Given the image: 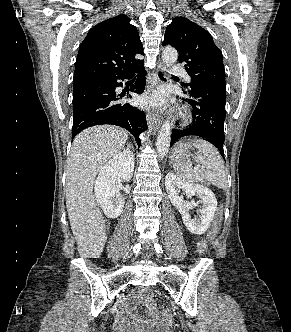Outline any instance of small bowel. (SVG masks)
Wrapping results in <instances>:
<instances>
[{
    "label": "small bowel",
    "mask_w": 291,
    "mask_h": 332,
    "mask_svg": "<svg viewBox=\"0 0 291 332\" xmlns=\"http://www.w3.org/2000/svg\"><path fill=\"white\" fill-rule=\"evenodd\" d=\"M204 250H205V243L199 242L198 251L200 253H202V252H204ZM143 301H144L146 307L148 308V312L150 315V318L143 322V326L146 328H154V327L162 328L169 319L168 313H166L165 311H158L156 308V304L149 297H144ZM148 301L151 302V306H147L146 303ZM122 326L128 327L129 324H127L126 322H123Z\"/></svg>",
    "instance_id": "c3829d8e"
}]
</instances>
